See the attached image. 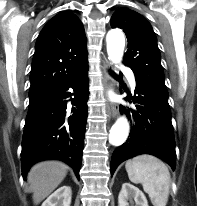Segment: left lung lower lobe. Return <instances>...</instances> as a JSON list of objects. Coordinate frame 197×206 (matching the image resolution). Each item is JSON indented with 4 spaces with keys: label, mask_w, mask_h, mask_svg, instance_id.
Listing matches in <instances>:
<instances>
[{
    "label": "left lung lower lobe",
    "mask_w": 197,
    "mask_h": 206,
    "mask_svg": "<svg viewBox=\"0 0 197 206\" xmlns=\"http://www.w3.org/2000/svg\"><path fill=\"white\" fill-rule=\"evenodd\" d=\"M133 102L137 111L130 109L121 112L131 119L129 139L115 149L111 159V176L118 165L139 154H151L170 164L175 169L176 152L171 112L168 97L146 87L136 80ZM131 96L125 98L130 101Z\"/></svg>",
    "instance_id": "1"
}]
</instances>
